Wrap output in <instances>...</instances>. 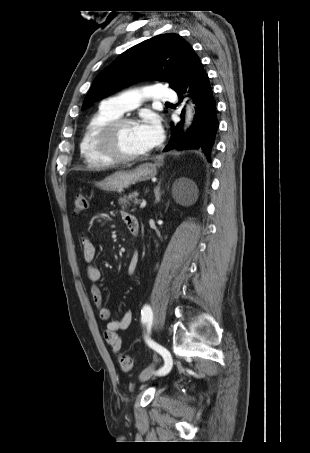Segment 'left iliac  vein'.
Returning <instances> with one entry per match:
<instances>
[{"label": "left iliac vein", "instance_id": "1", "mask_svg": "<svg viewBox=\"0 0 310 453\" xmlns=\"http://www.w3.org/2000/svg\"><path fill=\"white\" fill-rule=\"evenodd\" d=\"M153 372H154V364H151L150 366H148L147 368H145L139 375V380L141 382H145L147 380H149L152 375H153Z\"/></svg>", "mask_w": 310, "mask_h": 453}]
</instances>
